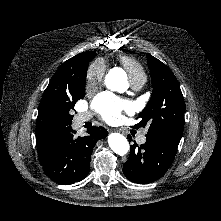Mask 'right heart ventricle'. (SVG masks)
Returning a JSON list of instances; mask_svg holds the SVG:
<instances>
[{"label":"right heart ventricle","mask_w":221,"mask_h":221,"mask_svg":"<svg viewBox=\"0 0 221 221\" xmlns=\"http://www.w3.org/2000/svg\"><path fill=\"white\" fill-rule=\"evenodd\" d=\"M117 61L128 72L130 81L146 78L142 65L135 59L128 56H120Z\"/></svg>","instance_id":"e07e8e85"}]
</instances>
